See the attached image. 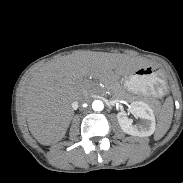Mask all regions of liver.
<instances>
[{"label": "liver", "mask_w": 183, "mask_h": 183, "mask_svg": "<svg viewBox=\"0 0 183 183\" xmlns=\"http://www.w3.org/2000/svg\"><path fill=\"white\" fill-rule=\"evenodd\" d=\"M144 66L147 62L141 58L92 51L47 62L31 74L23 96L31 134L46 146L61 141L74 115L71 103L88 91L85 78L106 82Z\"/></svg>", "instance_id": "obj_1"}]
</instances>
